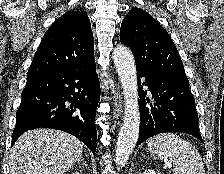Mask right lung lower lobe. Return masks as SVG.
Instances as JSON below:
<instances>
[{
    "label": "right lung lower lobe",
    "mask_w": 224,
    "mask_h": 174,
    "mask_svg": "<svg viewBox=\"0 0 224 174\" xmlns=\"http://www.w3.org/2000/svg\"><path fill=\"white\" fill-rule=\"evenodd\" d=\"M21 97L12 145L27 130L53 128L74 135L95 153V117L100 99L95 60L27 79Z\"/></svg>",
    "instance_id": "obj_1"
}]
</instances>
